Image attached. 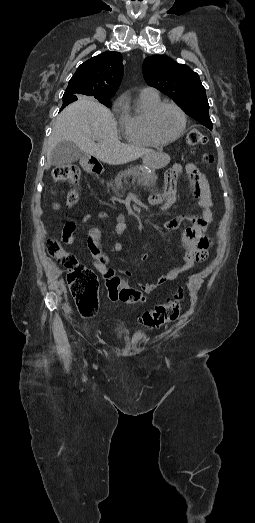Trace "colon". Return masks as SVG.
<instances>
[{"mask_svg":"<svg viewBox=\"0 0 255 523\" xmlns=\"http://www.w3.org/2000/svg\"><path fill=\"white\" fill-rule=\"evenodd\" d=\"M189 146H199L206 141V137L196 128H192L186 135ZM204 161L211 163L213 157L204 155ZM56 183L69 182L73 187L66 196L68 206L74 205L79 199L77 185L80 179V170L75 165H62L53 171ZM47 251L51 257L64 266L67 271V282L70 292L82 316H93L98 311V279L96 274L85 267L77 257L65 250L61 242L55 238L47 241ZM107 295L112 301H123L129 304L142 302L144 297L140 290L124 285L116 276L107 278ZM183 295L176 291L172 298L165 303L158 304L153 310L145 312L141 322L150 328L160 327L178 319L181 312Z\"/></svg>","mask_w":255,"mask_h":523,"instance_id":"5ec220e1","label":"colon"}]
</instances>
